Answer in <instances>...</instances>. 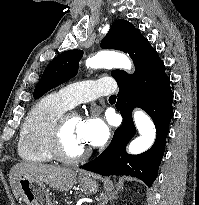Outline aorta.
<instances>
[{
    "label": "aorta",
    "mask_w": 199,
    "mask_h": 205,
    "mask_svg": "<svg viewBox=\"0 0 199 205\" xmlns=\"http://www.w3.org/2000/svg\"><path fill=\"white\" fill-rule=\"evenodd\" d=\"M86 66L94 69L122 68L130 70L132 63L123 53L100 51L95 56L86 60ZM133 118L140 136L129 144L128 152L136 155L147 151L153 145L156 138V129L150 117L141 110H136Z\"/></svg>",
    "instance_id": "aorta-1"
}]
</instances>
